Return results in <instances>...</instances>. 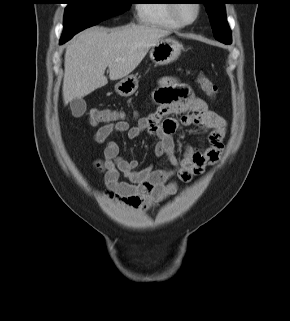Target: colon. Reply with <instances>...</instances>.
I'll return each mask as SVG.
<instances>
[{
	"instance_id": "obj_1",
	"label": "colon",
	"mask_w": 290,
	"mask_h": 321,
	"mask_svg": "<svg viewBox=\"0 0 290 321\" xmlns=\"http://www.w3.org/2000/svg\"><path fill=\"white\" fill-rule=\"evenodd\" d=\"M197 83L209 97L215 98L217 96V86L203 73H199ZM119 121H122L121 114L112 109H93L89 113V122L92 126Z\"/></svg>"
}]
</instances>
